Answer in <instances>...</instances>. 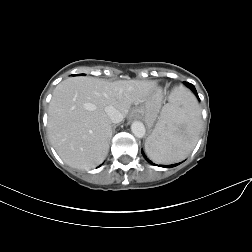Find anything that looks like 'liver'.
<instances>
[{
    "label": "liver",
    "instance_id": "1",
    "mask_svg": "<svg viewBox=\"0 0 252 252\" xmlns=\"http://www.w3.org/2000/svg\"><path fill=\"white\" fill-rule=\"evenodd\" d=\"M151 96L161 108L162 93L153 82L65 79L54 89L49 104L47 128L51 144L67 165L94 168L105 160L112 136V121L105 107L113 106L124 118L131 105H139Z\"/></svg>",
    "mask_w": 252,
    "mask_h": 252
}]
</instances>
